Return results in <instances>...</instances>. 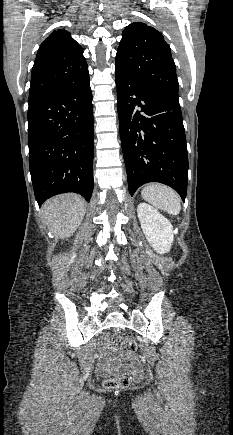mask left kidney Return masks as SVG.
I'll return each instance as SVG.
<instances>
[{
  "instance_id": "left-kidney-1",
  "label": "left kidney",
  "mask_w": 233,
  "mask_h": 435,
  "mask_svg": "<svg viewBox=\"0 0 233 435\" xmlns=\"http://www.w3.org/2000/svg\"><path fill=\"white\" fill-rule=\"evenodd\" d=\"M137 214L141 228L150 245L160 254L170 251L174 239L172 224L147 203H140Z\"/></svg>"
}]
</instances>
